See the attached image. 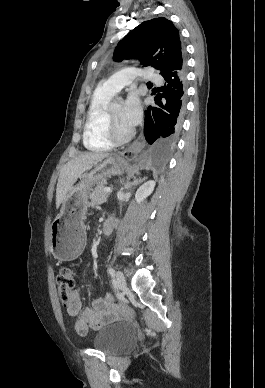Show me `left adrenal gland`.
<instances>
[{"label": "left adrenal gland", "mask_w": 265, "mask_h": 388, "mask_svg": "<svg viewBox=\"0 0 265 388\" xmlns=\"http://www.w3.org/2000/svg\"><path fill=\"white\" fill-rule=\"evenodd\" d=\"M146 178H142V180H136L133 178V182H125V188H131V186H138V184H142Z\"/></svg>", "instance_id": "left-adrenal-gland-1"}]
</instances>
